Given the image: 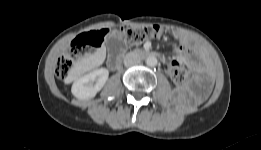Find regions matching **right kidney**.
Listing matches in <instances>:
<instances>
[{
  "mask_svg": "<svg viewBox=\"0 0 261 150\" xmlns=\"http://www.w3.org/2000/svg\"><path fill=\"white\" fill-rule=\"evenodd\" d=\"M108 76L109 71L106 68L93 70L73 83L72 94L78 99H91L103 88Z\"/></svg>",
  "mask_w": 261,
  "mask_h": 150,
  "instance_id": "1",
  "label": "right kidney"
}]
</instances>
